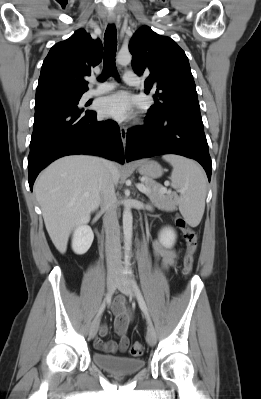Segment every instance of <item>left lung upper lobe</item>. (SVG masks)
Wrapping results in <instances>:
<instances>
[{
  "instance_id": "left-lung-upper-lobe-1",
  "label": "left lung upper lobe",
  "mask_w": 261,
  "mask_h": 399,
  "mask_svg": "<svg viewBox=\"0 0 261 399\" xmlns=\"http://www.w3.org/2000/svg\"><path fill=\"white\" fill-rule=\"evenodd\" d=\"M129 51L135 73H150L145 92L156 89L151 113L165 115L185 107L200 109L188 58L174 40L143 26L131 38Z\"/></svg>"
}]
</instances>
